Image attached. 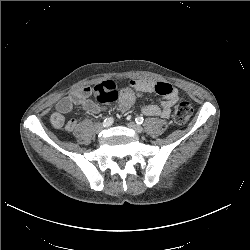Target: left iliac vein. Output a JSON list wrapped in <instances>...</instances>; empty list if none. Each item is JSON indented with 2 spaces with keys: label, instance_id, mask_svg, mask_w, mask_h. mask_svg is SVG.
<instances>
[{
  "label": "left iliac vein",
  "instance_id": "4c4485c4",
  "mask_svg": "<svg viewBox=\"0 0 250 250\" xmlns=\"http://www.w3.org/2000/svg\"><path fill=\"white\" fill-rule=\"evenodd\" d=\"M127 126L130 129L134 130L136 133H142L143 132V128L140 125L136 124L135 122H129L127 124Z\"/></svg>",
  "mask_w": 250,
  "mask_h": 250
}]
</instances>
